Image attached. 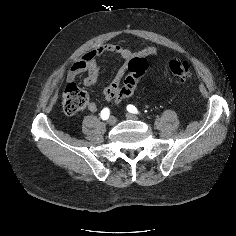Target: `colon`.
<instances>
[{"label": "colon", "instance_id": "obj_1", "mask_svg": "<svg viewBox=\"0 0 236 236\" xmlns=\"http://www.w3.org/2000/svg\"><path fill=\"white\" fill-rule=\"evenodd\" d=\"M168 67L178 83H185L189 80L190 66L187 61L171 60ZM128 71L129 74L120 88L118 100L123 99L131 92H135L138 81L148 71V62L144 58L133 57L128 63ZM88 102V94L82 88L73 83L66 87L63 93V108L67 114H77L88 105Z\"/></svg>", "mask_w": 236, "mask_h": 236}]
</instances>
